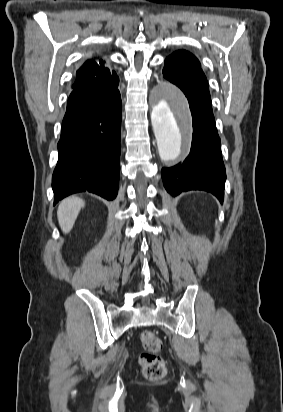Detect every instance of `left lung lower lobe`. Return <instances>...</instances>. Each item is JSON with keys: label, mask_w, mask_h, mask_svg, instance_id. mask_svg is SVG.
<instances>
[{"label": "left lung lower lobe", "mask_w": 283, "mask_h": 412, "mask_svg": "<svg viewBox=\"0 0 283 412\" xmlns=\"http://www.w3.org/2000/svg\"><path fill=\"white\" fill-rule=\"evenodd\" d=\"M168 80L178 86L188 99L193 136L190 154L185 161L161 170L164 187L172 196L189 190L207 191L222 203L226 175L209 87L186 76Z\"/></svg>", "instance_id": "obj_1"}]
</instances>
